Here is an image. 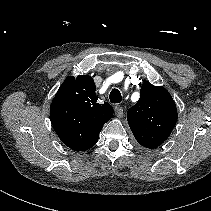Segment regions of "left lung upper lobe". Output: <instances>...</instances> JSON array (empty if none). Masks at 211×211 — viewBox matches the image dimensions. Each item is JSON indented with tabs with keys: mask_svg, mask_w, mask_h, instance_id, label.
Returning <instances> with one entry per match:
<instances>
[{
	"mask_svg": "<svg viewBox=\"0 0 211 211\" xmlns=\"http://www.w3.org/2000/svg\"><path fill=\"white\" fill-rule=\"evenodd\" d=\"M177 109L170 93L162 86L144 82L140 98L127 112L130 129L145 148L160 146L171 134L177 120Z\"/></svg>",
	"mask_w": 211,
	"mask_h": 211,
	"instance_id": "5c2ea615",
	"label": "left lung upper lobe"
}]
</instances>
